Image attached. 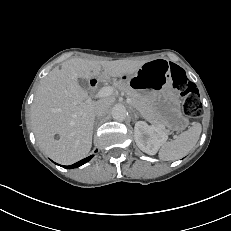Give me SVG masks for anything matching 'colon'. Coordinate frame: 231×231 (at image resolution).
Listing matches in <instances>:
<instances>
[{
	"instance_id": "5ec220e1",
	"label": "colon",
	"mask_w": 231,
	"mask_h": 231,
	"mask_svg": "<svg viewBox=\"0 0 231 231\" xmlns=\"http://www.w3.org/2000/svg\"><path fill=\"white\" fill-rule=\"evenodd\" d=\"M174 87L184 96L183 111L187 116L199 117L202 115L203 107L198 95V90L193 82L179 68L173 67Z\"/></svg>"
}]
</instances>
